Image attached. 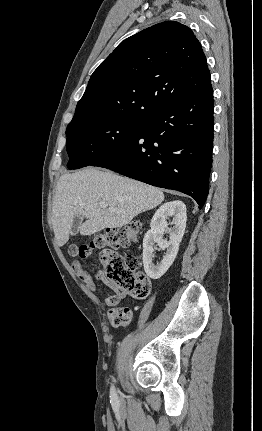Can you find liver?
<instances>
[{
  "label": "liver",
  "mask_w": 262,
  "mask_h": 431,
  "mask_svg": "<svg viewBox=\"0 0 262 431\" xmlns=\"http://www.w3.org/2000/svg\"><path fill=\"white\" fill-rule=\"evenodd\" d=\"M163 201L162 190L108 170L88 167L63 174L57 183L52 207L57 244L63 246L68 242L76 215L87 219L79 230L81 235L89 236L108 227L125 226L138 214ZM100 202L108 206L103 208ZM110 207L115 210L110 211Z\"/></svg>",
  "instance_id": "6515ba94"
}]
</instances>
